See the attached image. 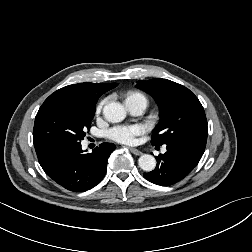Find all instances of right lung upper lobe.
<instances>
[{"mask_svg": "<svg viewBox=\"0 0 252 252\" xmlns=\"http://www.w3.org/2000/svg\"><path fill=\"white\" fill-rule=\"evenodd\" d=\"M117 85V83H79L68 85L55 91L46 100L67 99L95 106L98 98L103 93Z\"/></svg>", "mask_w": 252, "mask_h": 252, "instance_id": "cb5924a9", "label": "right lung upper lobe"}]
</instances>
